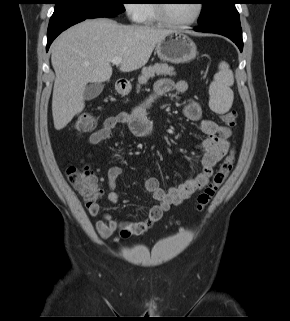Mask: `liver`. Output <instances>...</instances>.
<instances>
[{"instance_id":"1","label":"liver","mask_w":290,"mask_h":321,"mask_svg":"<svg viewBox=\"0 0 290 321\" xmlns=\"http://www.w3.org/2000/svg\"><path fill=\"white\" fill-rule=\"evenodd\" d=\"M171 32L144 25H122L107 18L85 20L64 31L51 45L56 75L52 97L55 129H63L83 111L88 83L110 79L113 58H122L120 71L137 70Z\"/></svg>"}]
</instances>
